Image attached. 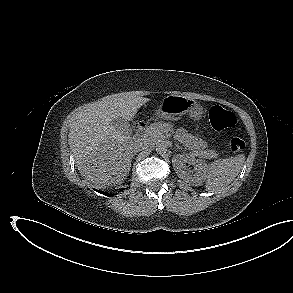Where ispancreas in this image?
<instances>
[{"label":"pancreas","instance_id":"1","mask_svg":"<svg viewBox=\"0 0 293 293\" xmlns=\"http://www.w3.org/2000/svg\"><path fill=\"white\" fill-rule=\"evenodd\" d=\"M166 126V123L161 122L151 124L145 131V138L149 141H156L163 138ZM193 154L207 159L217 158L218 156V153L215 150H199L194 151Z\"/></svg>","mask_w":293,"mask_h":293}]
</instances>
